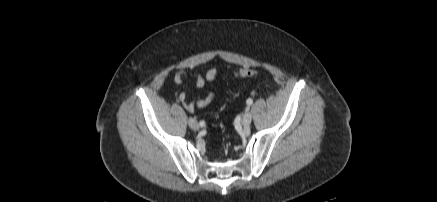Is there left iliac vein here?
Returning <instances> with one entry per match:
<instances>
[{
    "mask_svg": "<svg viewBox=\"0 0 437 202\" xmlns=\"http://www.w3.org/2000/svg\"><path fill=\"white\" fill-rule=\"evenodd\" d=\"M252 121V115L249 112H246L242 117V124L244 127H248Z\"/></svg>",
    "mask_w": 437,
    "mask_h": 202,
    "instance_id": "4c4485c4",
    "label": "left iliac vein"
}]
</instances>
